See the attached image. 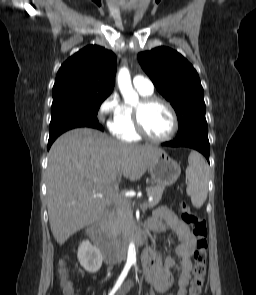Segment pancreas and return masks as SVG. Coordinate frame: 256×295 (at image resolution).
Segmentation results:
<instances>
[{"label": "pancreas", "instance_id": "1", "mask_svg": "<svg viewBox=\"0 0 256 295\" xmlns=\"http://www.w3.org/2000/svg\"><path fill=\"white\" fill-rule=\"evenodd\" d=\"M164 190L165 187L161 185L148 187L146 192L148 195L152 196L153 200L143 203V209L153 208L156 206L160 202ZM131 206V201L126 199H122L116 203L115 209L110 214L108 221L109 233L112 236L116 237L129 229L132 222Z\"/></svg>", "mask_w": 256, "mask_h": 295}]
</instances>
